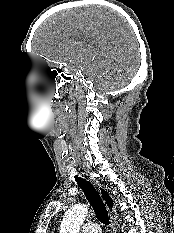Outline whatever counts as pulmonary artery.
<instances>
[{
    "instance_id": "pulmonary-artery-1",
    "label": "pulmonary artery",
    "mask_w": 174,
    "mask_h": 233,
    "mask_svg": "<svg viewBox=\"0 0 174 233\" xmlns=\"http://www.w3.org/2000/svg\"><path fill=\"white\" fill-rule=\"evenodd\" d=\"M82 233H101L100 227L94 222H88L83 225Z\"/></svg>"
}]
</instances>
